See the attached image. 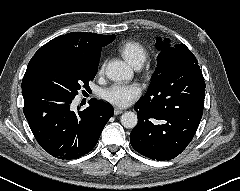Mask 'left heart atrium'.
<instances>
[{
  "label": "left heart atrium",
  "instance_id": "obj_1",
  "mask_svg": "<svg viewBox=\"0 0 240 191\" xmlns=\"http://www.w3.org/2000/svg\"><path fill=\"white\" fill-rule=\"evenodd\" d=\"M141 93L137 84L114 83L102 92V98L117 106L126 107L136 100Z\"/></svg>",
  "mask_w": 240,
  "mask_h": 191
}]
</instances>
